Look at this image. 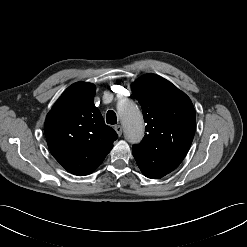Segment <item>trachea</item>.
<instances>
[{
	"mask_svg": "<svg viewBox=\"0 0 247 247\" xmlns=\"http://www.w3.org/2000/svg\"><path fill=\"white\" fill-rule=\"evenodd\" d=\"M106 122L108 124H117V117H116V113L113 111V110H109L107 112V115H106Z\"/></svg>",
	"mask_w": 247,
	"mask_h": 247,
	"instance_id": "trachea-1",
	"label": "trachea"
}]
</instances>
